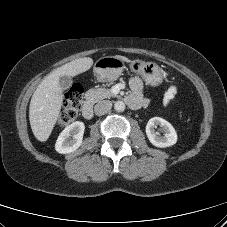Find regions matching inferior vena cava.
Returning a JSON list of instances; mask_svg holds the SVG:
<instances>
[{
  "instance_id": "1",
  "label": "inferior vena cava",
  "mask_w": 227,
  "mask_h": 227,
  "mask_svg": "<svg viewBox=\"0 0 227 227\" xmlns=\"http://www.w3.org/2000/svg\"><path fill=\"white\" fill-rule=\"evenodd\" d=\"M112 108V103L109 100H104V101H99L95 107H94V111L95 114L98 116L104 115L107 112H109Z\"/></svg>"
}]
</instances>
